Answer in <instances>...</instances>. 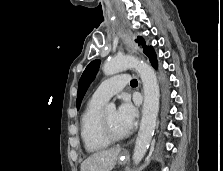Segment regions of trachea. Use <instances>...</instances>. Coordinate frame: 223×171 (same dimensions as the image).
Here are the masks:
<instances>
[{"label": "trachea", "mask_w": 223, "mask_h": 171, "mask_svg": "<svg viewBox=\"0 0 223 171\" xmlns=\"http://www.w3.org/2000/svg\"><path fill=\"white\" fill-rule=\"evenodd\" d=\"M137 83H138V82H137L136 79L131 80V85H133V84H137Z\"/></svg>", "instance_id": "trachea-1"}]
</instances>
